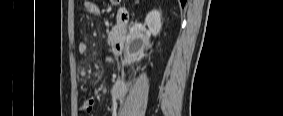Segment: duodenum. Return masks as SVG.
<instances>
[{
	"mask_svg": "<svg viewBox=\"0 0 283 116\" xmlns=\"http://www.w3.org/2000/svg\"><path fill=\"white\" fill-rule=\"evenodd\" d=\"M130 13L125 7H118L116 13V26L118 30L117 37L112 44V52L114 55H121L126 46L127 40V26L129 22Z\"/></svg>",
	"mask_w": 283,
	"mask_h": 116,
	"instance_id": "obj_1",
	"label": "duodenum"
}]
</instances>
